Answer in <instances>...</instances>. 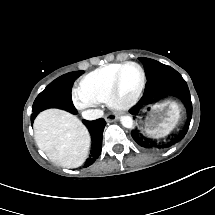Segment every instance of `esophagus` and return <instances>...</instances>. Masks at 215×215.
I'll list each match as a JSON object with an SVG mask.
<instances>
[{
    "mask_svg": "<svg viewBox=\"0 0 215 215\" xmlns=\"http://www.w3.org/2000/svg\"><path fill=\"white\" fill-rule=\"evenodd\" d=\"M117 119H118V116L115 115V114H107V115L105 116V120H106L107 122H114V121H116Z\"/></svg>",
    "mask_w": 215,
    "mask_h": 215,
    "instance_id": "1",
    "label": "esophagus"
}]
</instances>
